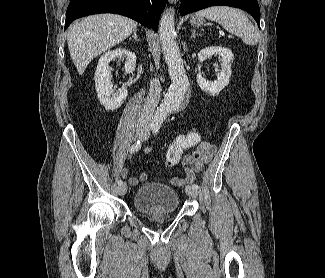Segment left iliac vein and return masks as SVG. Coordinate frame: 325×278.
Returning a JSON list of instances; mask_svg holds the SVG:
<instances>
[{"mask_svg":"<svg viewBox=\"0 0 325 278\" xmlns=\"http://www.w3.org/2000/svg\"><path fill=\"white\" fill-rule=\"evenodd\" d=\"M147 138L148 134L143 137L144 140H146ZM185 191L189 197L196 198L198 196V191L190 186H186Z\"/></svg>","mask_w":325,"mask_h":278,"instance_id":"left-iliac-vein-1","label":"left iliac vein"}]
</instances>
